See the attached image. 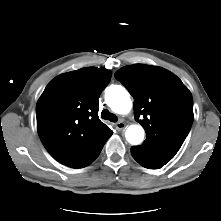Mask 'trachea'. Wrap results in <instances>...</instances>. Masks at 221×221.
Masks as SVG:
<instances>
[{
	"label": "trachea",
	"instance_id": "trachea-1",
	"mask_svg": "<svg viewBox=\"0 0 221 221\" xmlns=\"http://www.w3.org/2000/svg\"><path fill=\"white\" fill-rule=\"evenodd\" d=\"M101 118L105 120H109L111 122H116L117 121V116L113 113H110L108 110L104 109L101 112Z\"/></svg>",
	"mask_w": 221,
	"mask_h": 221
}]
</instances>
